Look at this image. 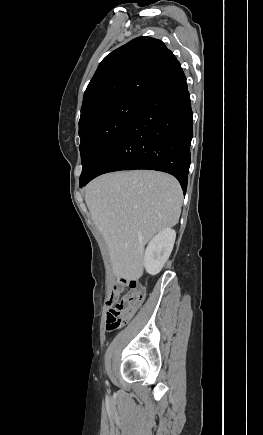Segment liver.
Returning <instances> with one entry per match:
<instances>
[{"label":"liver","mask_w":263,"mask_h":435,"mask_svg":"<svg viewBox=\"0 0 263 435\" xmlns=\"http://www.w3.org/2000/svg\"><path fill=\"white\" fill-rule=\"evenodd\" d=\"M85 201L104 238L116 277L138 280L148 241L178 223L183 193L173 176L149 170L104 174L90 182Z\"/></svg>","instance_id":"liver-1"}]
</instances>
